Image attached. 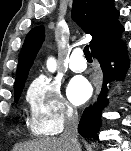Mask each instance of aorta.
<instances>
[{
  "mask_svg": "<svg viewBox=\"0 0 131 151\" xmlns=\"http://www.w3.org/2000/svg\"><path fill=\"white\" fill-rule=\"evenodd\" d=\"M48 69H49L50 71H54V70L56 69V62H55L54 59H50V60L48 61Z\"/></svg>",
  "mask_w": 131,
  "mask_h": 151,
  "instance_id": "aorta-1",
  "label": "aorta"
}]
</instances>
